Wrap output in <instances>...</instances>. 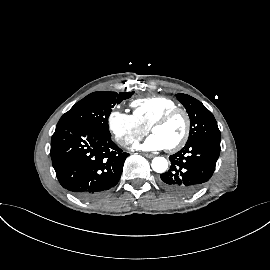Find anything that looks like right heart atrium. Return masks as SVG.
<instances>
[{
    "instance_id": "1",
    "label": "right heart atrium",
    "mask_w": 270,
    "mask_h": 270,
    "mask_svg": "<svg viewBox=\"0 0 270 270\" xmlns=\"http://www.w3.org/2000/svg\"><path fill=\"white\" fill-rule=\"evenodd\" d=\"M107 125L117 143L125 148L131 147L148 130L133 114L120 109H114L110 112Z\"/></svg>"
}]
</instances>
